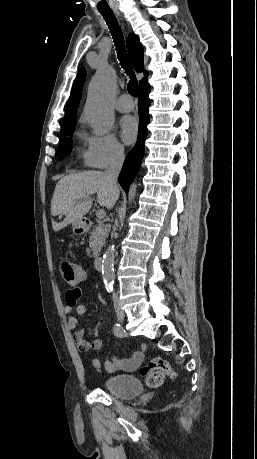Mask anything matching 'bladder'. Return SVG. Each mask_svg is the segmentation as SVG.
Segmentation results:
<instances>
[{
    "label": "bladder",
    "mask_w": 257,
    "mask_h": 459,
    "mask_svg": "<svg viewBox=\"0 0 257 459\" xmlns=\"http://www.w3.org/2000/svg\"><path fill=\"white\" fill-rule=\"evenodd\" d=\"M102 388L121 399H131L144 393L139 379L130 374L111 375L103 381Z\"/></svg>",
    "instance_id": "1"
}]
</instances>
